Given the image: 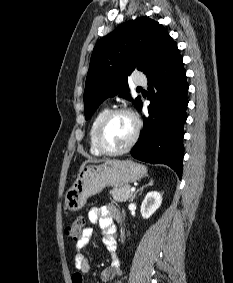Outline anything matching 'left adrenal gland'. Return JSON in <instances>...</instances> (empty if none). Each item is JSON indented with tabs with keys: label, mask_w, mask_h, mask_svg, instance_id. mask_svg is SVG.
Segmentation results:
<instances>
[{
	"label": "left adrenal gland",
	"mask_w": 233,
	"mask_h": 283,
	"mask_svg": "<svg viewBox=\"0 0 233 283\" xmlns=\"http://www.w3.org/2000/svg\"><path fill=\"white\" fill-rule=\"evenodd\" d=\"M152 185H153V181L150 180V182H149L147 185L142 186L140 189H138V190L134 193V195H133L131 201L134 200V198L136 197V194H137L139 191H143L144 188H146L147 186H152Z\"/></svg>",
	"instance_id": "a2214340"
}]
</instances>
